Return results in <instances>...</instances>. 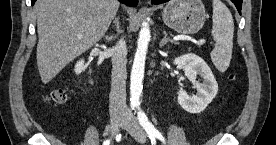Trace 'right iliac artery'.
I'll return each instance as SVG.
<instances>
[{"instance_id":"obj_1","label":"right iliac artery","mask_w":276,"mask_h":145,"mask_svg":"<svg viewBox=\"0 0 276 145\" xmlns=\"http://www.w3.org/2000/svg\"><path fill=\"white\" fill-rule=\"evenodd\" d=\"M109 144H110V140L109 139L105 140L104 143H103V145H109Z\"/></svg>"}]
</instances>
